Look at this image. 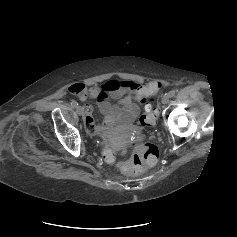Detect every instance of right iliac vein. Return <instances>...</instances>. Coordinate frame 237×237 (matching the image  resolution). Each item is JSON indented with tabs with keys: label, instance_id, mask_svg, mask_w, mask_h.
I'll list each match as a JSON object with an SVG mask.
<instances>
[{
	"label": "right iliac vein",
	"instance_id": "right-iliac-vein-1",
	"mask_svg": "<svg viewBox=\"0 0 237 237\" xmlns=\"http://www.w3.org/2000/svg\"><path fill=\"white\" fill-rule=\"evenodd\" d=\"M76 112H77V114L80 115V116H82L83 113H84L83 108H82L81 106H78V107L76 108Z\"/></svg>",
	"mask_w": 237,
	"mask_h": 237
}]
</instances>
